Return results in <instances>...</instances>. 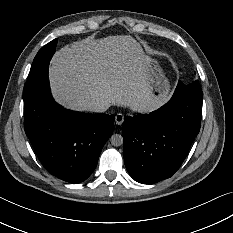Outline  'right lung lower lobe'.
Wrapping results in <instances>:
<instances>
[{"label":"right lung lower lobe","mask_w":233,"mask_h":233,"mask_svg":"<svg viewBox=\"0 0 233 233\" xmlns=\"http://www.w3.org/2000/svg\"><path fill=\"white\" fill-rule=\"evenodd\" d=\"M24 128L36 155L52 175L86 180L109 139L114 115L66 110L52 98L47 78L24 98Z\"/></svg>","instance_id":"98d812e1"}]
</instances>
